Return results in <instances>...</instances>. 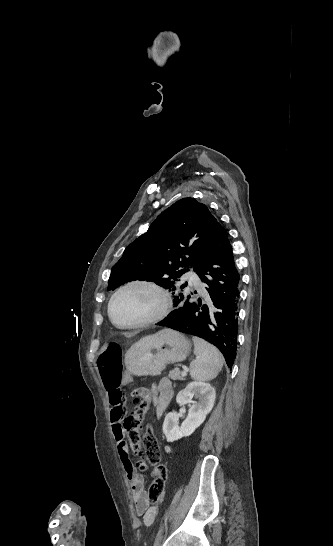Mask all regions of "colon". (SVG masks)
<instances>
[{"mask_svg":"<svg viewBox=\"0 0 333 546\" xmlns=\"http://www.w3.org/2000/svg\"><path fill=\"white\" fill-rule=\"evenodd\" d=\"M121 358L120 345L110 342L100 351L96 361L104 387L112 394V402H119L122 396L119 390L122 383ZM147 405V400L135 399L133 410L125 418L123 427L133 453L144 457L137 464L139 470H147L149 464L155 466L153 470L155 477L148 488L147 501L148 503H157L164 498L168 471L165 465L160 464V446L151 427L147 426L143 433Z\"/></svg>","mask_w":333,"mask_h":546,"instance_id":"obj_1","label":"colon"}]
</instances>
